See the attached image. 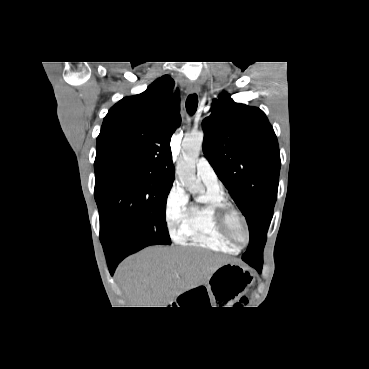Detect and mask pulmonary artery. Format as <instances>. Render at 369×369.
<instances>
[{"label": "pulmonary artery", "mask_w": 369, "mask_h": 369, "mask_svg": "<svg viewBox=\"0 0 369 369\" xmlns=\"http://www.w3.org/2000/svg\"><path fill=\"white\" fill-rule=\"evenodd\" d=\"M197 177L209 188L219 190L220 184L213 167L205 157H201L196 162Z\"/></svg>", "instance_id": "pulmonary-artery-1"}]
</instances>
